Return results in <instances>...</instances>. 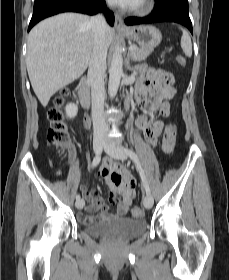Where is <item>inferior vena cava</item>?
<instances>
[{
    "label": "inferior vena cava",
    "mask_w": 229,
    "mask_h": 280,
    "mask_svg": "<svg viewBox=\"0 0 229 280\" xmlns=\"http://www.w3.org/2000/svg\"><path fill=\"white\" fill-rule=\"evenodd\" d=\"M108 5H111L109 0ZM89 24L93 33V51L89 61L87 81L91 86L94 135L103 136L108 129L103 115L105 99L104 73L107 57L104 35L107 24L102 14L91 17Z\"/></svg>",
    "instance_id": "obj_1"
}]
</instances>
